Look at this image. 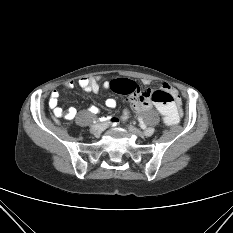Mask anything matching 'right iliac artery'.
<instances>
[{
	"instance_id": "obj_1",
	"label": "right iliac artery",
	"mask_w": 233,
	"mask_h": 233,
	"mask_svg": "<svg viewBox=\"0 0 233 233\" xmlns=\"http://www.w3.org/2000/svg\"><path fill=\"white\" fill-rule=\"evenodd\" d=\"M108 125V122L97 123L96 125H91V128H102V126Z\"/></svg>"
}]
</instances>
